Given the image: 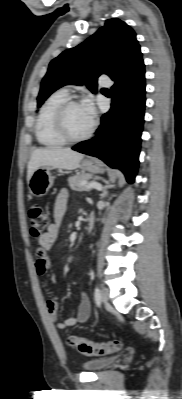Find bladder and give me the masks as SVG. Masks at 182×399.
<instances>
[{"mask_svg": "<svg viewBox=\"0 0 182 399\" xmlns=\"http://www.w3.org/2000/svg\"><path fill=\"white\" fill-rule=\"evenodd\" d=\"M114 360H115L114 357L88 360L84 363V368L92 372H97L111 365L114 362Z\"/></svg>", "mask_w": 182, "mask_h": 399, "instance_id": "bladder-1", "label": "bladder"}]
</instances>
